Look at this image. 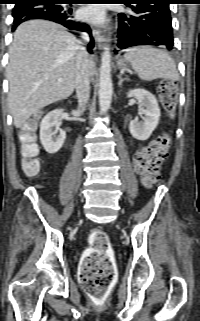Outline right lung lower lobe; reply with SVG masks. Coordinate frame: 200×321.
<instances>
[{
  "instance_id": "right-lung-lower-lobe-1",
  "label": "right lung lower lobe",
  "mask_w": 200,
  "mask_h": 321,
  "mask_svg": "<svg viewBox=\"0 0 200 321\" xmlns=\"http://www.w3.org/2000/svg\"><path fill=\"white\" fill-rule=\"evenodd\" d=\"M72 2H63L62 0H28L13 8L12 16L14 18L12 30L24 21L30 19H45L59 23L70 30L85 31L90 34V27L82 22H78L72 15V9L61 6L60 4ZM93 48V39L88 44V51L91 53Z\"/></svg>"
}]
</instances>
